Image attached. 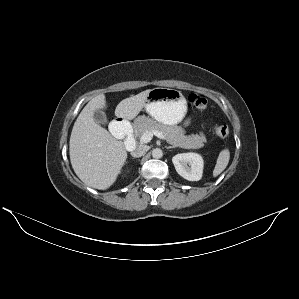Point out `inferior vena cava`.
<instances>
[{
	"instance_id": "602c4592",
	"label": "inferior vena cava",
	"mask_w": 299,
	"mask_h": 299,
	"mask_svg": "<svg viewBox=\"0 0 299 299\" xmlns=\"http://www.w3.org/2000/svg\"><path fill=\"white\" fill-rule=\"evenodd\" d=\"M148 151V146L146 145H138L132 151L131 155L133 157H141Z\"/></svg>"
}]
</instances>
